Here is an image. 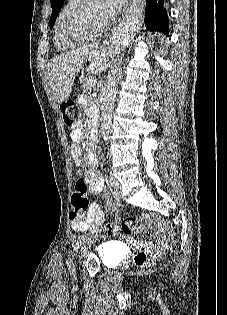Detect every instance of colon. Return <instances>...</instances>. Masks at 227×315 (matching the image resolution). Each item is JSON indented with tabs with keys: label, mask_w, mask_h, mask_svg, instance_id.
I'll return each mask as SVG.
<instances>
[{
	"label": "colon",
	"mask_w": 227,
	"mask_h": 315,
	"mask_svg": "<svg viewBox=\"0 0 227 315\" xmlns=\"http://www.w3.org/2000/svg\"><path fill=\"white\" fill-rule=\"evenodd\" d=\"M63 120L66 125L72 126L75 124L79 109L72 101H65L61 105ZM90 208V201L87 196V186L84 180H77L74 190L71 195V212L70 216L73 219H84ZM152 215H146L142 218L117 219L116 222H110L97 230L101 237H112L117 232L122 231L125 234H139L144 232L147 227L154 222ZM154 257L150 254L140 252L134 257L135 266L138 269H145L153 264Z\"/></svg>",
	"instance_id": "obj_1"
}]
</instances>
